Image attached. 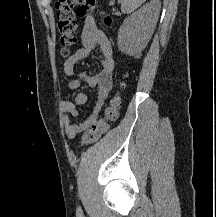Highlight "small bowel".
Instances as JSON below:
<instances>
[{"label":"small bowel","mask_w":216,"mask_h":217,"mask_svg":"<svg viewBox=\"0 0 216 217\" xmlns=\"http://www.w3.org/2000/svg\"><path fill=\"white\" fill-rule=\"evenodd\" d=\"M81 47L62 63V69L66 76H74L75 68L79 61L88 57L99 48L101 53V70L97 74L89 75L86 72H79L69 82V90H76L82 81H86L88 86L97 88L95 105L89 116L81 122H74L72 118L79 115L77 105L87 102V95L84 92L71 93L68 98L60 103L63 113L62 127L68 139H73L78 134L85 132L95 121H97L101 109L113 87L114 56L111 43L105 33L98 29L95 20L88 17L84 21V26L80 35Z\"/></svg>","instance_id":"obj_1"}]
</instances>
